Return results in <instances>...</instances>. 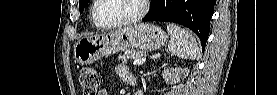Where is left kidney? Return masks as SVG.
Returning <instances> with one entry per match:
<instances>
[{
    "label": "left kidney",
    "mask_w": 277,
    "mask_h": 95,
    "mask_svg": "<svg viewBox=\"0 0 277 95\" xmlns=\"http://www.w3.org/2000/svg\"><path fill=\"white\" fill-rule=\"evenodd\" d=\"M187 69L182 68H171L166 69L162 73L163 79L167 84H175L185 75Z\"/></svg>",
    "instance_id": "left-kidney-1"
}]
</instances>
